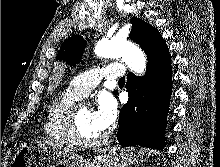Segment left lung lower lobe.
Listing matches in <instances>:
<instances>
[{
  "mask_svg": "<svg viewBox=\"0 0 220 167\" xmlns=\"http://www.w3.org/2000/svg\"><path fill=\"white\" fill-rule=\"evenodd\" d=\"M147 58V70L143 77L132 73L127 76L129 100L120 110L117 132V140L122 147H164L172 88L171 57L166 49L157 56Z\"/></svg>",
  "mask_w": 220,
  "mask_h": 167,
  "instance_id": "1",
  "label": "left lung lower lobe"
}]
</instances>
